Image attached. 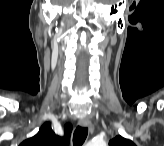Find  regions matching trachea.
<instances>
[{
	"mask_svg": "<svg viewBox=\"0 0 164 146\" xmlns=\"http://www.w3.org/2000/svg\"><path fill=\"white\" fill-rule=\"evenodd\" d=\"M88 135V128L78 126L73 134V144L74 146H82Z\"/></svg>",
	"mask_w": 164,
	"mask_h": 146,
	"instance_id": "obj_1",
	"label": "trachea"
}]
</instances>
